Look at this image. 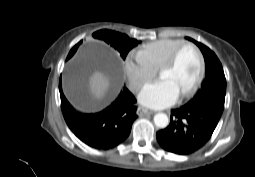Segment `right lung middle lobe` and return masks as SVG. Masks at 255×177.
Segmentation results:
<instances>
[{
  "instance_id": "1",
  "label": "right lung middle lobe",
  "mask_w": 255,
  "mask_h": 177,
  "mask_svg": "<svg viewBox=\"0 0 255 177\" xmlns=\"http://www.w3.org/2000/svg\"><path fill=\"white\" fill-rule=\"evenodd\" d=\"M93 37L104 40L106 43L113 46L119 52L123 59H125L128 52L138 44V41L136 39L129 38L125 34L107 29L93 33ZM80 43L81 42L77 44L75 52Z\"/></svg>"
}]
</instances>
